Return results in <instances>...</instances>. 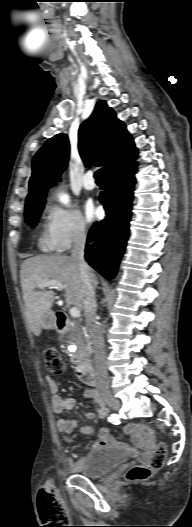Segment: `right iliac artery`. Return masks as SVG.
<instances>
[{
  "label": "right iliac artery",
  "instance_id": "1",
  "mask_svg": "<svg viewBox=\"0 0 192 527\" xmlns=\"http://www.w3.org/2000/svg\"><path fill=\"white\" fill-rule=\"evenodd\" d=\"M108 419L112 427H116V426L121 427L123 425V422H122L123 416L121 413H114L112 417H109Z\"/></svg>",
  "mask_w": 192,
  "mask_h": 527
}]
</instances>
